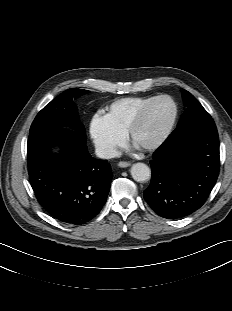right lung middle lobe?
<instances>
[{
    "instance_id": "dd1d6c3e",
    "label": "right lung middle lobe",
    "mask_w": 232,
    "mask_h": 311,
    "mask_svg": "<svg viewBox=\"0 0 232 311\" xmlns=\"http://www.w3.org/2000/svg\"><path fill=\"white\" fill-rule=\"evenodd\" d=\"M87 90L70 88L49 104H47L34 119L29 135L48 129L70 126L77 129V132L84 135L85 129L78 122V114L73 98L87 93Z\"/></svg>"
}]
</instances>
